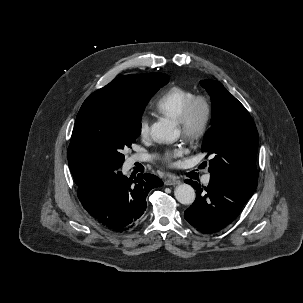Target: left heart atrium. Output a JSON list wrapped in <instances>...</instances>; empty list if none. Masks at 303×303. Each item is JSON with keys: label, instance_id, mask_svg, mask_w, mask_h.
Here are the masks:
<instances>
[{"label": "left heart atrium", "instance_id": "1", "mask_svg": "<svg viewBox=\"0 0 303 303\" xmlns=\"http://www.w3.org/2000/svg\"><path fill=\"white\" fill-rule=\"evenodd\" d=\"M184 153V150L180 147L168 149L163 154V161L168 165H174L176 158L180 157Z\"/></svg>", "mask_w": 303, "mask_h": 303}]
</instances>
